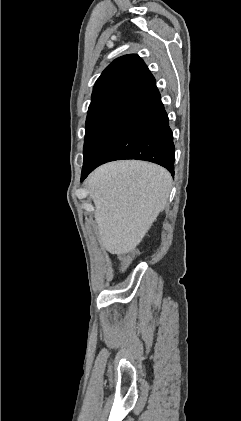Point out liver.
I'll use <instances>...</instances> for the list:
<instances>
[{"label": "liver", "instance_id": "obj_1", "mask_svg": "<svg viewBox=\"0 0 241 421\" xmlns=\"http://www.w3.org/2000/svg\"><path fill=\"white\" fill-rule=\"evenodd\" d=\"M100 243L112 254L133 251L167 205L170 173L156 164L125 160L104 164L88 180Z\"/></svg>", "mask_w": 241, "mask_h": 421}]
</instances>
